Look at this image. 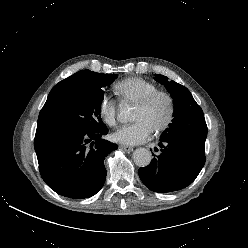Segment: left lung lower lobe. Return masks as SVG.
Listing matches in <instances>:
<instances>
[{
  "label": "left lung lower lobe",
  "instance_id": "obj_1",
  "mask_svg": "<svg viewBox=\"0 0 248 248\" xmlns=\"http://www.w3.org/2000/svg\"><path fill=\"white\" fill-rule=\"evenodd\" d=\"M159 146L160 155L138 170L143 184L158 193L190 185L205 164V142L177 135L160 139Z\"/></svg>",
  "mask_w": 248,
  "mask_h": 248
}]
</instances>
